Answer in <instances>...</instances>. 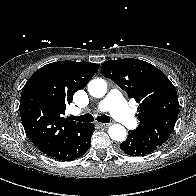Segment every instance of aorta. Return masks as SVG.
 I'll use <instances>...</instances> for the list:
<instances>
[{"mask_svg": "<svg viewBox=\"0 0 196 196\" xmlns=\"http://www.w3.org/2000/svg\"><path fill=\"white\" fill-rule=\"evenodd\" d=\"M88 92L95 98H102L107 92V83L104 79H93L88 83ZM109 136L112 140L122 142L126 139V129L120 124H113L109 127Z\"/></svg>", "mask_w": 196, "mask_h": 196, "instance_id": "aorta-1", "label": "aorta"}]
</instances>
